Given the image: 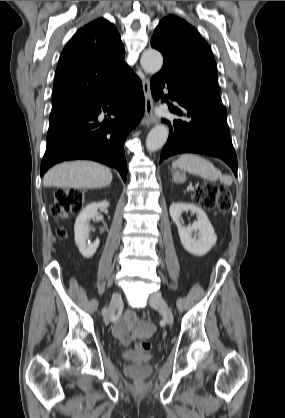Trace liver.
<instances>
[{"instance_id": "liver-1", "label": "liver", "mask_w": 285, "mask_h": 418, "mask_svg": "<svg viewBox=\"0 0 285 418\" xmlns=\"http://www.w3.org/2000/svg\"><path fill=\"white\" fill-rule=\"evenodd\" d=\"M112 172L91 161L65 162L51 168L43 178L44 187L94 189L110 185Z\"/></svg>"}]
</instances>
